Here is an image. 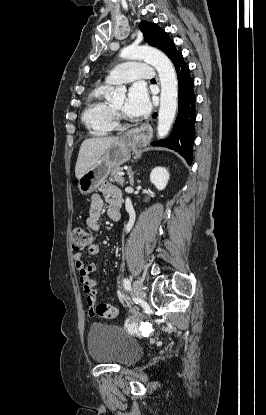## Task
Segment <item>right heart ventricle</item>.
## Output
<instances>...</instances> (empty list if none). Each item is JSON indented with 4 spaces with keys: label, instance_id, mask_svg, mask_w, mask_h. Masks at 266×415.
<instances>
[{
    "label": "right heart ventricle",
    "instance_id": "right-heart-ventricle-1",
    "mask_svg": "<svg viewBox=\"0 0 266 415\" xmlns=\"http://www.w3.org/2000/svg\"><path fill=\"white\" fill-rule=\"evenodd\" d=\"M110 84H103L91 91L82 120L94 135H107L116 127L115 114L112 105L105 98Z\"/></svg>",
    "mask_w": 266,
    "mask_h": 415
}]
</instances>
